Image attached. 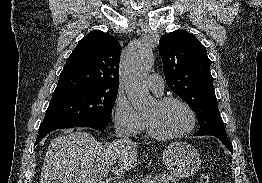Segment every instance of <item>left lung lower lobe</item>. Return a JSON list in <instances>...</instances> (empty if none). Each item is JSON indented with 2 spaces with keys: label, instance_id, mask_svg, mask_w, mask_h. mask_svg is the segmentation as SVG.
<instances>
[{
  "label": "left lung lower lobe",
  "instance_id": "left-lung-lower-lobe-1",
  "mask_svg": "<svg viewBox=\"0 0 262 183\" xmlns=\"http://www.w3.org/2000/svg\"><path fill=\"white\" fill-rule=\"evenodd\" d=\"M212 136L217 137L227 147V149L233 153L232 144L230 140L227 138V136H221V135H212Z\"/></svg>",
  "mask_w": 262,
  "mask_h": 183
}]
</instances>
